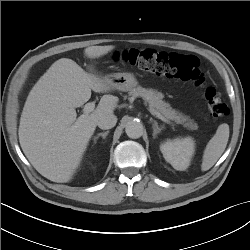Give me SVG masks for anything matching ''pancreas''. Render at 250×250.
<instances>
[{
  "label": "pancreas",
  "instance_id": "cf45deb5",
  "mask_svg": "<svg viewBox=\"0 0 250 250\" xmlns=\"http://www.w3.org/2000/svg\"><path fill=\"white\" fill-rule=\"evenodd\" d=\"M130 96L142 97L149 103L150 110L159 112L163 117L172 120L177 124H182L189 130H197L198 125L188 116L183 115L176 109H173L169 103L163 101V94L153 89H145L141 86L132 89L129 92Z\"/></svg>",
  "mask_w": 250,
  "mask_h": 250
}]
</instances>
